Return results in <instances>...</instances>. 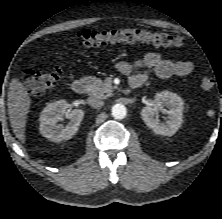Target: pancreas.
<instances>
[{
    "label": "pancreas",
    "instance_id": "cf45deb5",
    "mask_svg": "<svg viewBox=\"0 0 222 219\" xmlns=\"http://www.w3.org/2000/svg\"><path fill=\"white\" fill-rule=\"evenodd\" d=\"M84 80L89 95L99 98H107L112 94V88L107 86L102 80L92 76L85 77Z\"/></svg>",
    "mask_w": 222,
    "mask_h": 219
}]
</instances>
